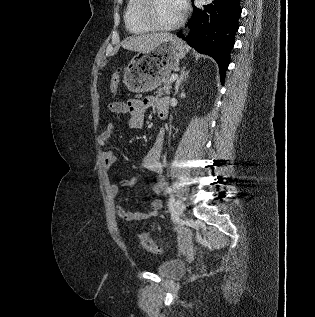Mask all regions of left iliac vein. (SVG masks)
<instances>
[{
    "label": "left iliac vein",
    "instance_id": "1",
    "mask_svg": "<svg viewBox=\"0 0 315 317\" xmlns=\"http://www.w3.org/2000/svg\"><path fill=\"white\" fill-rule=\"evenodd\" d=\"M185 210V205L181 199L175 201V212L177 216H180Z\"/></svg>",
    "mask_w": 315,
    "mask_h": 317
}]
</instances>
